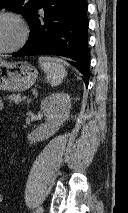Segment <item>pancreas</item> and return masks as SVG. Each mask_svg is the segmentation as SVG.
<instances>
[{"instance_id":"obj_1","label":"pancreas","mask_w":128,"mask_h":213,"mask_svg":"<svg viewBox=\"0 0 128 213\" xmlns=\"http://www.w3.org/2000/svg\"><path fill=\"white\" fill-rule=\"evenodd\" d=\"M6 98L8 100L14 102L15 104H19V103H21L22 100H24V98H22L19 94H17V95H15V94L8 95Z\"/></svg>"}]
</instances>
